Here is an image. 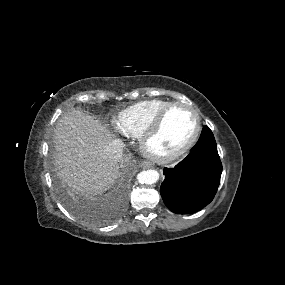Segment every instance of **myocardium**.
Wrapping results in <instances>:
<instances>
[{
  "mask_svg": "<svg viewBox=\"0 0 285 285\" xmlns=\"http://www.w3.org/2000/svg\"><path fill=\"white\" fill-rule=\"evenodd\" d=\"M176 107H185L195 115L196 118L195 130L190 139L175 151L165 155L156 154L152 152L151 149L149 148V143L160 131L162 124L165 118L167 117L168 113ZM201 131H202V120L199 111L190 104L183 102H173L170 105H168L165 109H163L159 113V115L153 120V122L148 126V128L143 132V134L140 137V149L142 153L153 162L158 164H168L177 160L179 157L188 152L198 141Z\"/></svg>",
  "mask_w": 285,
  "mask_h": 285,
  "instance_id": "1",
  "label": "myocardium"
}]
</instances>
